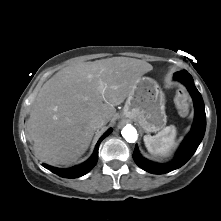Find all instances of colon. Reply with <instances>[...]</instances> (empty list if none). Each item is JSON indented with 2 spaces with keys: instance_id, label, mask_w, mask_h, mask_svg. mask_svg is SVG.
<instances>
[{
  "instance_id": "5ec220e1",
  "label": "colon",
  "mask_w": 221,
  "mask_h": 221,
  "mask_svg": "<svg viewBox=\"0 0 221 221\" xmlns=\"http://www.w3.org/2000/svg\"><path fill=\"white\" fill-rule=\"evenodd\" d=\"M176 106L181 113H186L189 109V97L183 89H179L176 95Z\"/></svg>"
}]
</instances>
